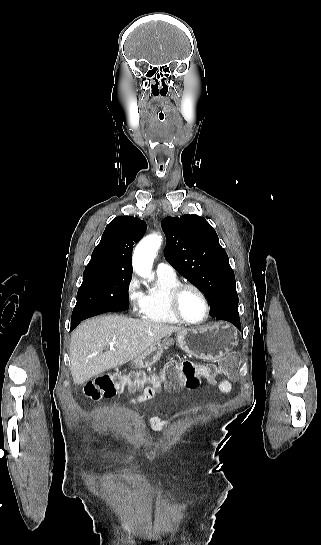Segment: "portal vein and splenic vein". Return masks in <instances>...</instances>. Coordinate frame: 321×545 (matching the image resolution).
Wrapping results in <instances>:
<instances>
[{
  "label": "portal vein and splenic vein",
  "instance_id": "obj_1",
  "mask_svg": "<svg viewBox=\"0 0 321 545\" xmlns=\"http://www.w3.org/2000/svg\"><path fill=\"white\" fill-rule=\"evenodd\" d=\"M110 351H113L114 349V343H109Z\"/></svg>",
  "mask_w": 321,
  "mask_h": 545
}]
</instances>
